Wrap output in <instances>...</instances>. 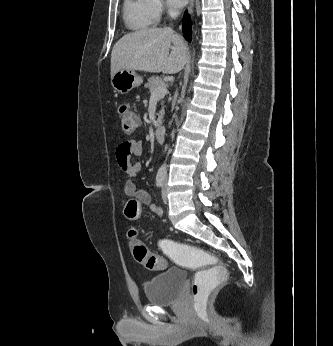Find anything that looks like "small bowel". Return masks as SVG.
Wrapping results in <instances>:
<instances>
[{
	"instance_id": "small-bowel-1",
	"label": "small bowel",
	"mask_w": 333,
	"mask_h": 346,
	"mask_svg": "<svg viewBox=\"0 0 333 346\" xmlns=\"http://www.w3.org/2000/svg\"><path fill=\"white\" fill-rule=\"evenodd\" d=\"M143 153V142L139 139L121 142L116 149V160L119 167L123 170L128 180L124 184V193L127 196L135 197L142 205L157 214H162V209L151 202L147 191L137 187L134 179L140 171V163H131V156L139 157Z\"/></svg>"
}]
</instances>
